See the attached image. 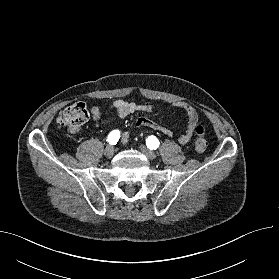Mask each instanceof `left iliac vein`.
Returning a JSON list of instances; mask_svg holds the SVG:
<instances>
[{"instance_id": "4c4485c4", "label": "left iliac vein", "mask_w": 279, "mask_h": 279, "mask_svg": "<svg viewBox=\"0 0 279 279\" xmlns=\"http://www.w3.org/2000/svg\"><path fill=\"white\" fill-rule=\"evenodd\" d=\"M140 150L141 152L149 159L153 160L156 158V153L149 149L148 147L144 146V145H140Z\"/></svg>"}]
</instances>
